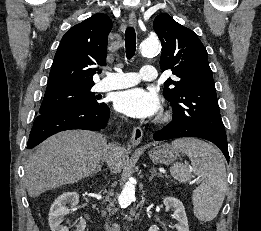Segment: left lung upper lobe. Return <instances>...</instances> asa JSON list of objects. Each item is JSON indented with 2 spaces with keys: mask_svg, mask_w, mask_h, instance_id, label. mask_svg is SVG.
<instances>
[{
  "mask_svg": "<svg viewBox=\"0 0 261 231\" xmlns=\"http://www.w3.org/2000/svg\"><path fill=\"white\" fill-rule=\"evenodd\" d=\"M153 27L162 43L160 67L177 76L165 81L163 92L173 108V119L227 140L206 48L192 30L166 13L155 18Z\"/></svg>",
  "mask_w": 261,
  "mask_h": 231,
  "instance_id": "1",
  "label": "left lung upper lobe"
}]
</instances>
